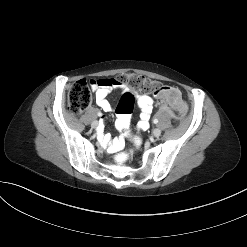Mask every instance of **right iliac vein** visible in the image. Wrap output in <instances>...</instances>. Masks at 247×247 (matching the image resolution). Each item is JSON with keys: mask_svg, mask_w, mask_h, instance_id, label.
I'll return each mask as SVG.
<instances>
[{"mask_svg": "<svg viewBox=\"0 0 247 247\" xmlns=\"http://www.w3.org/2000/svg\"><path fill=\"white\" fill-rule=\"evenodd\" d=\"M91 126L92 128H96L98 126V121H93Z\"/></svg>", "mask_w": 247, "mask_h": 247, "instance_id": "obj_1", "label": "right iliac vein"}]
</instances>
